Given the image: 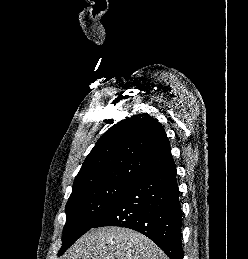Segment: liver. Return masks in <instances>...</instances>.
I'll list each match as a JSON object with an SVG mask.
<instances>
[{
	"label": "liver",
	"instance_id": "liver-1",
	"mask_svg": "<svg viewBox=\"0 0 248 259\" xmlns=\"http://www.w3.org/2000/svg\"><path fill=\"white\" fill-rule=\"evenodd\" d=\"M64 259H169L149 238L129 228L91 229L69 249Z\"/></svg>",
	"mask_w": 248,
	"mask_h": 259
}]
</instances>
